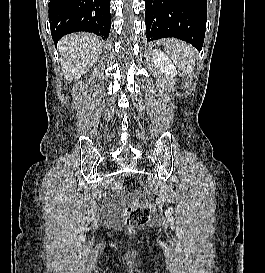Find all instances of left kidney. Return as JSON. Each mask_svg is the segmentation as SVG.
I'll list each match as a JSON object with an SVG mask.
<instances>
[{
	"label": "left kidney",
	"instance_id": "left-kidney-1",
	"mask_svg": "<svg viewBox=\"0 0 265 273\" xmlns=\"http://www.w3.org/2000/svg\"><path fill=\"white\" fill-rule=\"evenodd\" d=\"M154 64L162 73L171 78L177 75L176 67L173 65L169 57L160 50H154L152 53Z\"/></svg>",
	"mask_w": 265,
	"mask_h": 273
}]
</instances>
